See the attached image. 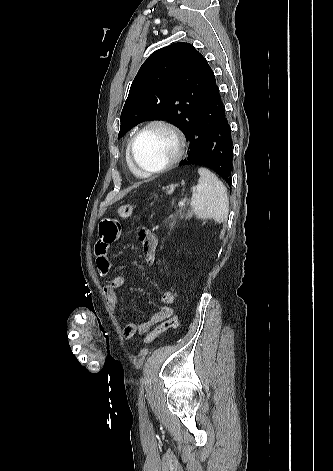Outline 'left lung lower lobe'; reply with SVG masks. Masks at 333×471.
<instances>
[{"label":"left lung lower lobe","instance_id":"1","mask_svg":"<svg viewBox=\"0 0 333 471\" xmlns=\"http://www.w3.org/2000/svg\"><path fill=\"white\" fill-rule=\"evenodd\" d=\"M189 156L179 166L196 164L215 170L231 186L233 148L216 80L211 85L187 137Z\"/></svg>","mask_w":333,"mask_h":471}]
</instances>
